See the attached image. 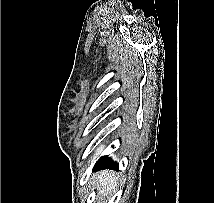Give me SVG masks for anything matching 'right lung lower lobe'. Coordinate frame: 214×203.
<instances>
[{
    "instance_id": "1",
    "label": "right lung lower lobe",
    "mask_w": 214,
    "mask_h": 203,
    "mask_svg": "<svg viewBox=\"0 0 214 203\" xmlns=\"http://www.w3.org/2000/svg\"><path fill=\"white\" fill-rule=\"evenodd\" d=\"M105 167L118 168V164L116 162H113L109 157L104 156L96 162L94 169Z\"/></svg>"
}]
</instances>
